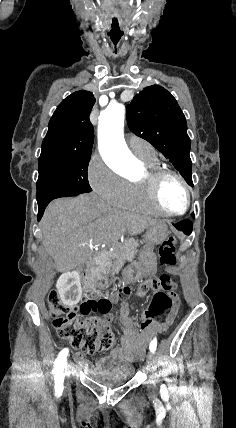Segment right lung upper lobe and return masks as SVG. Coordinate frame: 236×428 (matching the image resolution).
Instances as JSON below:
<instances>
[{
    "label": "right lung upper lobe",
    "instance_id": "cb5924a9",
    "mask_svg": "<svg viewBox=\"0 0 236 428\" xmlns=\"http://www.w3.org/2000/svg\"><path fill=\"white\" fill-rule=\"evenodd\" d=\"M94 103L89 91H77L65 98L50 119L41 154L91 155L94 129L89 114Z\"/></svg>",
    "mask_w": 236,
    "mask_h": 428
}]
</instances>
